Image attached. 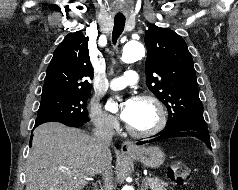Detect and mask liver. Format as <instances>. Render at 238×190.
Segmentation results:
<instances>
[{
  "mask_svg": "<svg viewBox=\"0 0 238 190\" xmlns=\"http://www.w3.org/2000/svg\"><path fill=\"white\" fill-rule=\"evenodd\" d=\"M109 169L112 156H100L94 137L58 122L38 126L27 159L25 190H83L87 181Z\"/></svg>",
  "mask_w": 238,
  "mask_h": 190,
  "instance_id": "obj_1",
  "label": "liver"
}]
</instances>
